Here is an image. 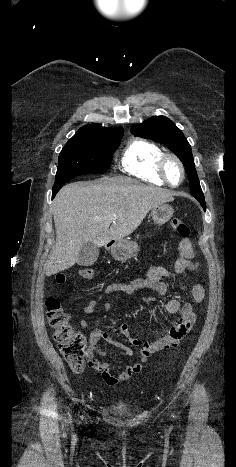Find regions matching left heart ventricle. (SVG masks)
Here are the masks:
<instances>
[{
    "label": "left heart ventricle",
    "instance_id": "b2bd125f",
    "mask_svg": "<svg viewBox=\"0 0 236 467\" xmlns=\"http://www.w3.org/2000/svg\"><path fill=\"white\" fill-rule=\"evenodd\" d=\"M166 171L168 179L172 184H177L180 182L181 171L176 162L169 160L166 165Z\"/></svg>",
    "mask_w": 236,
    "mask_h": 467
}]
</instances>
